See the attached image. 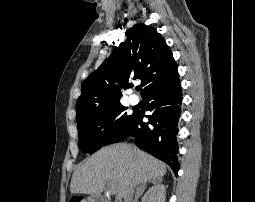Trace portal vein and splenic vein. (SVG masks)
<instances>
[{
    "label": "portal vein and splenic vein",
    "instance_id": "obj_1",
    "mask_svg": "<svg viewBox=\"0 0 255 202\" xmlns=\"http://www.w3.org/2000/svg\"><path fill=\"white\" fill-rule=\"evenodd\" d=\"M111 193L115 194L116 193V188L115 186L111 183Z\"/></svg>",
    "mask_w": 255,
    "mask_h": 202
}]
</instances>
